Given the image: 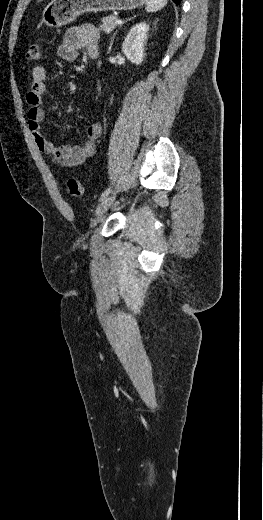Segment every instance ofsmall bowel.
Masks as SVG:
<instances>
[{
	"label": "small bowel",
	"mask_w": 263,
	"mask_h": 520,
	"mask_svg": "<svg viewBox=\"0 0 263 520\" xmlns=\"http://www.w3.org/2000/svg\"><path fill=\"white\" fill-rule=\"evenodd\" d=\"M99 32L92 25L72 27L67 30L62 43L57 48V56L67 62L78 58L79 51L85 50L93 58L99 54ZM47 71L44 66H36L32 70V84L26 95L29 105L28 126L38 149L50 156L54 162L65 167L82 164L95 152V142L99 138L102 125L98 122L89 125L86 140L79 145L55 146L48 135L42 130L45 117L41 105L47 91Z\"/></svg>",
	"instance_id": "1"
}]
</instances>
